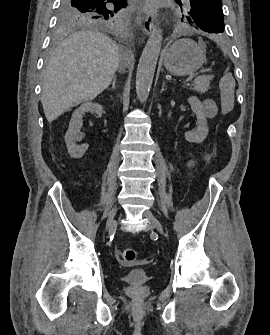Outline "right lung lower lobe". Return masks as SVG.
Wrapping results in <instances>:
<instances>
[{
    "mask_svg": "<svg viewBox=\"0 0 270 335\" xmlns=\"http://www.w3.org/2000/svg\"><path fill=\"white\" fill-rule=\"evenodd\" d=\"M109 1H112V2H114V3H119V4H123L124 6H126V0L125 1H122V0H116V1H114V0H109ZM107 4H109V3H107Z\"/></svg>",
    "mask_w": 270,
    "mask_h": 335,
    "instance_id": "98d812e1",
    "label": "right lung lower lobe"
}]
</instances>
